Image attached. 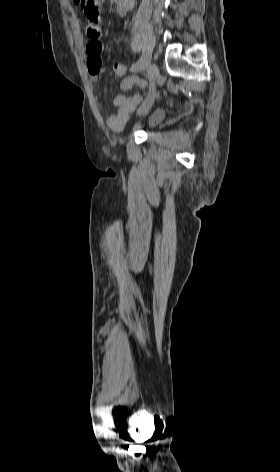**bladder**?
Returning <instances> with one entry per match:
<instances>
[{
	"label": "bladder",
	"instance_id": "1",
	"mask_svg": "<svg viewBox=\"0 0 280 472\" xmlns=\"http://www.w3.org/2000/svg\"><path fill=\"white\" fill-rule=\"evenodd\" d=\"M164 118V113L161 110H155L147 114L143 120L146 129L155 128Z\"/></svg>",
	"mask_w": 280,
	"mask_h": 472
}]
</instances>
